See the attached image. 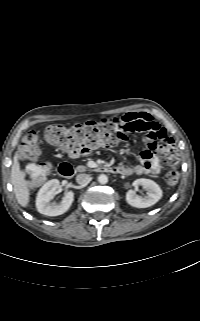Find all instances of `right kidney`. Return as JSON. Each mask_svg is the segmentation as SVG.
<instances>
[{"label": "right kidney", "instance_id": "right-kidney-1", "mask_svg": "<svg viewBox=\"0 0 200 321\" xmlns=\"http://www.w3.org/2000/svg\"><path fill=\"white\" fill-rule=\"evenodd\" d=\"M59 187L60 182L57 179H52L41 187L36 198V207L39 213L47 216H58L70 208L74 200L72 191H68L60 203H50Z\"/></svg>", "mask_w": 200, "mask_h": 321}]
</instances>
